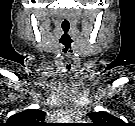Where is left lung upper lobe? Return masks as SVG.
Instances as JSON below:
<instances>
[{
	"mask_svg": "<svg viewBox=\"0 0 135 126\" xmlns=\"http://www.w3.org/2000/svg\"><path fill=\"white\" fill-rule=\"evenodd\" d=\"M88 116L91 118L95 126L116 124L115 122L117 121V118L103 111L92 112L89 113Z\"/></svg>",
	"mask_w": 135,
	"mask_h": 126,
	"instance_id": "left-lung-upper-lobe-1",
	"label": "left lung upper lobe"
}]
</instances>
